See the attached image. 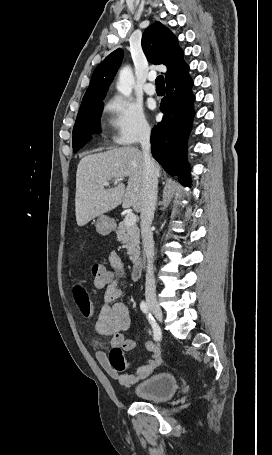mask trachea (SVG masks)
<instances>
[{"label":"trachea","mask_w":272,"mask_h":455,"mask_svg":"<svg viewBox=\"0 0 272 455\" xmlns=\"http://www.w3.org/2000/svg\"><path fill=\"white\" fill-rule=\"evenodd\" d=\"M156 87H165L163 75H159L155 81Z\"/></svg>","instance_id":"trachea-1"}]
</instances>
